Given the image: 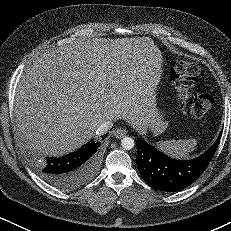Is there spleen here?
Returning <instances> with one entry per match:
<instances>
[{"mask_svg": "<svg viewBox=\"0 0 231 231\" xmlns=\"http://www.w3.org/2000/svg\"><path fill=\"white\" fill-rule=\"evenodd\" d=\"M196 145V139L166 140L158 142L157 148L173 158L186 159Z\"/></svg>", "mask_w": 231, "mask_h": 231, "instance_id": "3e777b00", "label": "spleen"}]
</instances>
